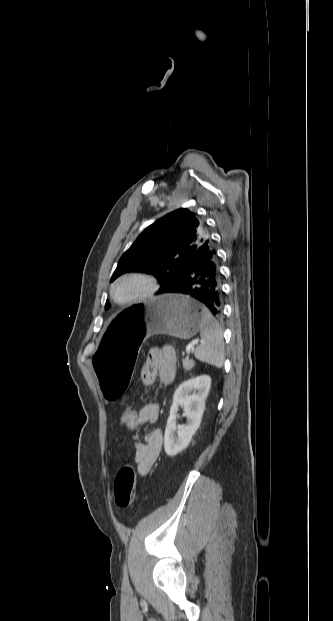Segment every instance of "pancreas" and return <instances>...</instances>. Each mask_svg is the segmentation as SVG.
<instances>
[{
  "instance_id": "obj_1",
  "label": "pancreas",
  "mask_w": 333,
  "mask_h": 621,
  "mask_svg": "<svg viewBox=\"0 0 333 621\" xmlns=\"http://www.w3.org/2000/svg\"><path fill=\"white\" fill-rule=\"evenodd\" d=\"M183 368L185 371L191 370L195 366V362L193 359H190L188 356L182 359Z\"/></svg>"
}]
</instances>
